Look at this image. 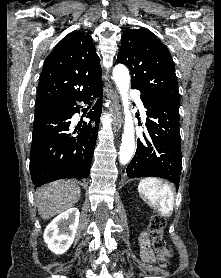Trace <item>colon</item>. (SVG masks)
Listing matches in <instances>:
<instances>
[{"label": "colon", "instance_id": "5ec220e1", "mask_svg": "<svg viewBox=\"0 0 221 278\" xmlns=\"http://www.w3.org/2000/svg\"><path fill=\"white\" fill-rule=\"evenodd\" d=\"M165 220L161 216H154L148 227V235L151 239L150 251L153 253L161 267H168L169 260L166 253V244L163 238Z\"/></svg>", "mask_w": 221, "mask_h": 278}]
</instances>
